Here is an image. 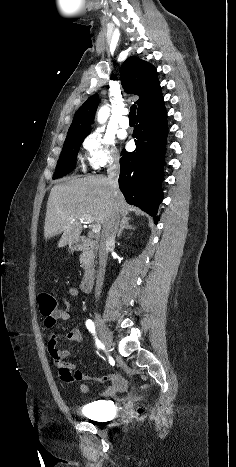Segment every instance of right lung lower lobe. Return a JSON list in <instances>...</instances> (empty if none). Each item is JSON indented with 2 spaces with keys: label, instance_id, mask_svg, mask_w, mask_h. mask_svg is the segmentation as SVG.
Returning <instances> with one entry per match:
<instances>
[{
  "label": "right lung lower lobe",
  "instance_id": "98d812e1",
  "mask_svg": "<svg viewBox=\"0 0 236 467\" xmlns=\"http://www.w3.org/2000/svg\"><path fill=\"white\" fill-rule=\"evenodd\" d=\"M132 137L136 150H122L119 187L126 201L154 216L163 200L165 144L168 133L163 97L137 114Z\"/></svg>",
  "mask_w": 236,
  "mask_h": 467
}]
</instances>
